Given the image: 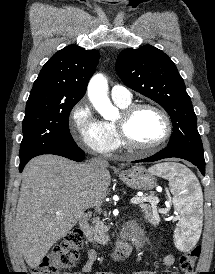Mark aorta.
<instances>
[{
  "label": "aorta",
  "instance_id": "obj_1",
  "mask_svg": "<svg viewBox=\"0 0 215 274\" xmlns=\"http://www.w3.org/2000/svg\"><path fill=\"white\" fill-rule=\"evenodd\" d=\"M108 83L102 74L94 75L88 85V97L94 108L106 120H112L119 114L107 95Z\"/></svg>",
  "mask_w": 215,
  "mask_h": 274
}]
</instances>
